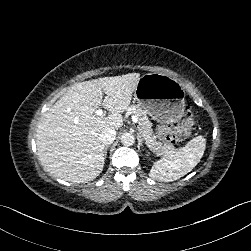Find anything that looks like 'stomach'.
Listing matches in <instances>:
<instances>
[{
	"label": "stomach",
	"mask_w": 251,
	"mask_h": 251,
	"mask_svg": "<svg viewBox=\"0 0 251 251\" xmlns=\"http://www.w3.org/2000/svg\"><path fill=\"white\" fill-rule=\"evenodd\" d=\"M133 97L153 119L170 122L183 112L185 91L166 74L146 73L139 78Z\"/></svg>",
	"instance_id": "stomach-1"
}]
</instances>
